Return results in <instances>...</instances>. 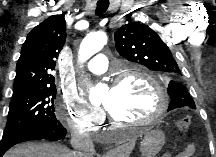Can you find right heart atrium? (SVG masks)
Wrapping results in <instances>:
<instances>
[{
  "instance_id": "1",
  "label": "right heart atrium",
  "mask_w": 216,
  "mask_h": 157,
  "mask_svg": "<svg viewBox=\"0 0 216 157\" xmlns=\"http://www.w3.org/2000/svg\"><path fill=\"white\" fill-rule=\"evenodd\" d=\"M56 115L69 130L83 135L93 134L105 120L101 109L90 106L73 91L66 92L58 101Z\"/></svg>"
}]
</instances>
